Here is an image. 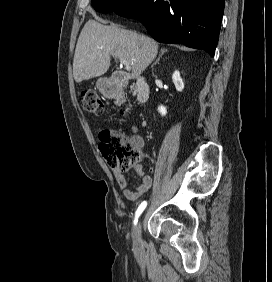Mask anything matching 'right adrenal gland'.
I'll list each match as a JSON object with an SVG mask.
<instances>
[{
	"label": "right adrenal gland",
	"mask_w": 272,
	"mask_h": 282,
	"mask_svg": "<svg viewBox=\"0 0 272 282\" xmlns=\"http://www.w3.org/2000/svg\"><path fill=\"white\" fill-rule=\"evenodd\" d=\"M167 51V49H161V53L159 55V57L157 58V60L151 65V67H154V65H156L157 63H159L161 57L164 55V53Z\"/></svg>",
	"instance_id": "1"
}]
</instances>
